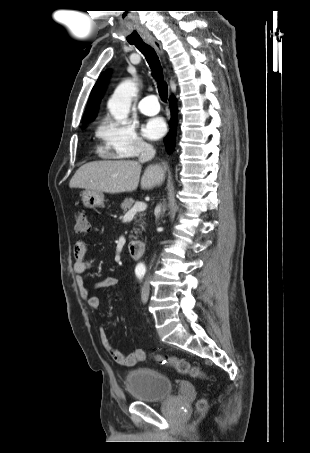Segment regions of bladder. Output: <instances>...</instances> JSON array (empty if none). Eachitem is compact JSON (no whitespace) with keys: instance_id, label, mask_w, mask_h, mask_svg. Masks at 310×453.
I'll list each match as a JSON object with an SVG mask.
<instances>
[{"instance_id":"obj_1","label":"bladder","mask_w":310,"mask_h":453,"mask_svg":"<svg viewBox=\"0 0 310 453\" xmlns=\"http://www.w3.org/2000/svg\"><path fill=\"white\" fill-rule=\"evenodd\" d=\"M125 388L134 400L145 403L160 402L173 394L171 380L150 368L130 371L125 379Z\"/></svg>"}]
</instances>
